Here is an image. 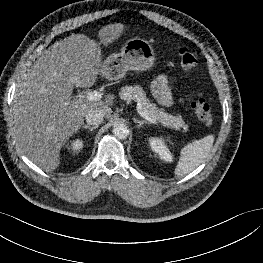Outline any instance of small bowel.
Here are the masks:
<instances>
[{
  "instance_id": "small-bowel-1",
  "label": "small bowel",
  "mask_w": 263,
  "mask_h": 263,
  "mask_svg": "<svg viewBox=\"0 0 263 263\" xmlns=\"http://www.w3.org/2000/svg\"><path fill=\"white\" fill-rule=\"evenodd\" d=\"M152 92L155 98L163 105H170L172 102L168 80L161 75L155 79L152 85Z\"/></svg>"
}]
</instances>
